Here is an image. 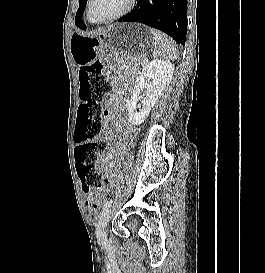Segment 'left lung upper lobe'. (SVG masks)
Segmentation results:
<instances>
[{"mask_svg":"<svg viewBox=\"0 0 265 273\" xmlns=\"http://www.w3.org/2000/svg\"><path fill=\"white\" fill-rule=\"evenodd\" d=\"M87 0H79V9L76 13V17H75V21H76V26H78L79 28H81L82 26H84V22L82 21L81 17L83 15L85 6H86Z\"/></svg>","mask_w":265,"mask_h":273,"instance_id":"left-lung-upper-lobe-1","label":"left lung upper lobe"}]
</instances>
